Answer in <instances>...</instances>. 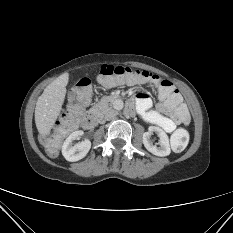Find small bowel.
<instances>
[{
    "label": "small bowel",
    "mask_w": 233,
    "mask_h": 233,
    "mask_svg": "<svg viewBox=\"0 0 233 233\" xmlns=\"http://www.w3.org/2000/svg\"><path fill=\"white\" fill-rule=\"evenodd\" d=\"M138 113L149 123L159 126L167 133L173 132L178 124L189 123V113L187 112V120L184 122L176 121L173 116V108L166 101L160 98V103L155 108H152V101L145 93L137 94L136 98Z\"/></svg>",
    "instance_id": "1"
}]
</instances>
